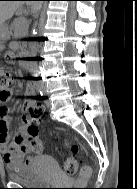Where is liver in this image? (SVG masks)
<instances>
[{
	"instance_id": "1",
	"label": "liver",
	"mask_w": 137,
	"mask_h": 189,
	"mask_svg": "<svg viewBox=\"0 0 137 189\" xmlns=\"http://www.w3.org/2000/svg\"><path fill=\"white\" fill-rule=\"evenodd\" d=\"M22 1H0V26L4 25L5 21L10 19L14 12L22 5ZM34 10L40 9L37 2H29Z\"/></svg>"
}]
</instances>
